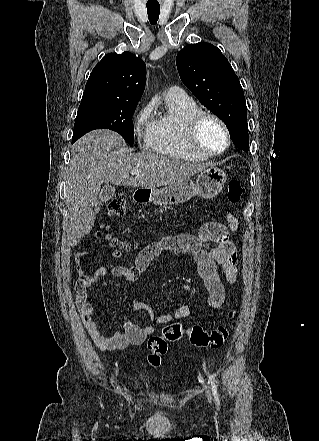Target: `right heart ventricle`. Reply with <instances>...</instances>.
I'll return each instance as SVG.
<instances>
[{"label": "right heart ventricle", "instance_id": "right-heart-ventricle-1", "mask_svg": "<svg viewBox=\"0 0 319 441\" xmlns=\"http://www.w3.org/2000/svg\"><path fill=\"white\" fill-rule=\"evenodd\" d=\"M167 103L168 114L155 120L150 150L157 155L193 162L206 160L207 157L193 152L185 141L186 123L194 113L201 110L200 107L189 97L185 99L167 98Z\"/></svg>", "mask_w": 319, "mask_h": 441}]
</instances>
